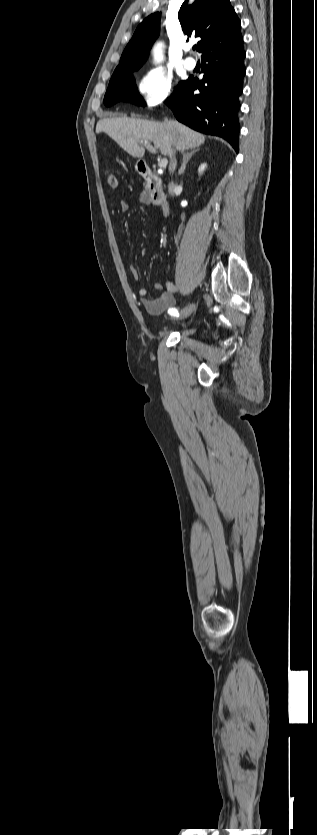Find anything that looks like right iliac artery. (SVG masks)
<instances>
[{
  "mask_svg": "<svg viewBox=\"0 0 317 835\" xmlns=\"http://www.w3.org/2000/svg\"><path fill=\"white\" fill-rule=\"evenodd\" d=\"M168 313H169L171 316H179L178 310H177L176 308H171V309H169V310H168Z\"/></svg>",
  "mask_w": 317,
  "mask_h": 835,
  "instance_id": "right-iliac-artery-1",
  "label": "right iliac artery"
}]
</instances>
